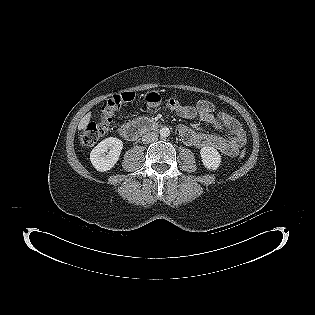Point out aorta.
<instances>
[{
	"instance_id": "aorta-1",
	"label": "aorta",
	"mask_w": 315,
	"mask_h": 315,
	"mask_svg": "<svg viewBox=\"0 0 315 315\" xmlns=\"http://www.w3.org/2000/svg\"><path fill=\"white\" fill-rule=\"evenodd\" d=\"M170 135V130L168 127H163L160 129V136L161 137H168Z\"/></svg>"
}]
</instances>
